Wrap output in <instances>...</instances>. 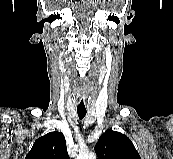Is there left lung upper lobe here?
Returning a JSON list of instances; mask_svg holds the SVG:
<instances>
[{
  "label": "left lung upper lobe",
  "mask_w": 173,
  "mask_h": 159,
  "mask_svg": "<svg viewBox=\"0 0 173 159\" xmlns=\"http://www.w3.org/2000/svg\"><path fill=\"white\" fill-rule=\"evenodd\" d=\"M95 152L98 159H141L127 136L109 129L100 136Z\"/></svg>",
  "instance_id": "5c2ea615"
}]
</instances>
